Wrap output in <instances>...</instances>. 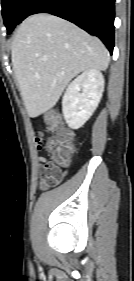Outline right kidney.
Returning a JSON list of instances; mask_svg holds the SVG:
<instances>
[{
    "mask_svg": "<svg viewBox=\"0 0 134 281\" xmlns=\"http://www.w3.org/2000/svg\"><path fill=\"white\" fill-rule=\"evenodd\" d=\"M104 91V77L88 69L67 87L62 99L63 116L71 129L82 127L96 110Z\"/></svg>",
    "mask_w": 134,
    "mask_h": 281,
    "instance_id": "right-kidney-1",
    "label": "right kidney"
}]
</instances>
